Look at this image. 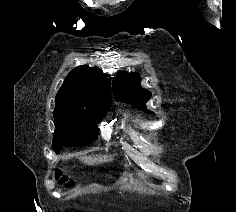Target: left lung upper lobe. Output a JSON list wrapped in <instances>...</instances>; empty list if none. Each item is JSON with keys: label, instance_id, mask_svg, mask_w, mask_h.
Returning a JSON list of instances; mask_svg holds the SVG:
<instances>
[{"label": "left lung upper lobe", "instance_id": "obj_1", "mask_svg": "<svg viewBox=\"0 0 236 212\" xmlns=\"http://www.w3.org/2000/svg\"><path fill=\"white\" fill-rule=\"evenodd\" d=\"M113 94L116 100L136 104L145 112H149L144 104L151 97V93L141 88L140 77L137 73L122 72L116 75L113 82Z\"/></svg>", "mask_w": 236, "mask_h": 212}]
</instances>
